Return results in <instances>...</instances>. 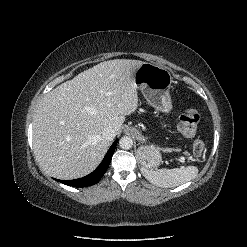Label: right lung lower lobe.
Wrapping results in <instances>:
<instances>
[{"label": "right lung lower lobe", "instance_id": "1", "mask_svg": "<svg viewBox=\"0 0 247 247\" xmlns=\"http://www.w3.org/2000/svg\"><path fill=\"white\" fill-rule=\"evenodd\" d=\"M117 142H118V139H116L114 143L111 145L104 159L102 160L100 165L96 168V170H94L89 175L79 178V179H74V180H66V181L57 180V179L55 180L63 184H66V185L73 186V187H88V186L98 183L101 177L105 174V172L107 171L109 167V164L111 162V158L114 153Z\"/></svg>", "mask_w": 247, "mask_h": 247}]
</instances>
